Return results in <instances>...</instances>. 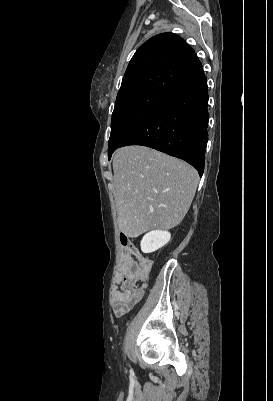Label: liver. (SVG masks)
<instances>
[{
  "instance_id": "1",
  "label": "liver",
  "mask_w": 273,
  "mask_h": 401,
  "mask_svg": "<svg viewBox=\"0 0 273 401\" xmlns=\"http://www.w3.org/2000/svg\"><path fill=\"white\" fill-rule=\"evenodd\" d=\"M118 227L126 237L173 229L195 196L197 170L148 146H122L113 158Z\"/></svg>"
}]
</instances>
